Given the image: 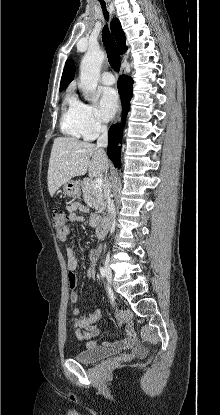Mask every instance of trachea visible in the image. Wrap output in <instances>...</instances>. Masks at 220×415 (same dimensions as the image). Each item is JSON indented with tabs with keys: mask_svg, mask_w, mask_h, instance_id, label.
<instances>
[{
	"mask_svg": "<svg viewBox=\"0 0 220 415\" xmlns=\"http://www.w3.org/2000/svg\"><path fill=\"white\" fill-rule=\"evenodd\" d=\"M102 9H103L105 19L108 20L109 19V14L106 10V5L105 4H102ZM102 40H103L104 46H105L106 51H107L108 61L111 65V67L115 71L118 72L120 70V57H119V54H118V49H117V45L115 43V40H114L113 36L109 33V29H108L107 25L103 28Z\"/></svg>",
	"mask_w": 220,
	"mask_h": 415,
	"instance_id": "3493384b",
	"label": "trachea"
}]
</instances>
